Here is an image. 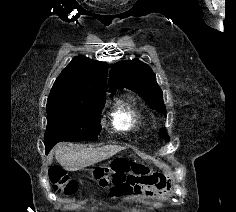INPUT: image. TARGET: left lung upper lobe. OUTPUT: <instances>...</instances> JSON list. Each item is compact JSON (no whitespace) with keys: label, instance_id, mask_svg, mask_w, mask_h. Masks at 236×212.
<instances>
[{"label":"left lung upper lobe","instance_id":"5c2ea615","mask_svg":"<svg viewBox=\"0 0 236 212\" xmlns=\"http://www.w3.org/2000/svg\"><path fill=\"white\" fill-rule=\"evenodd\" d=\"M109 88L112 93L115 89H130L142 97L152 109L166 113L163 94L156 82L155 73L139 59L115 63L110 71ZM159 135L169 141L165 129H161Z\"/></svg>","mask_w":236,"mask_h":212}]
</instances>
